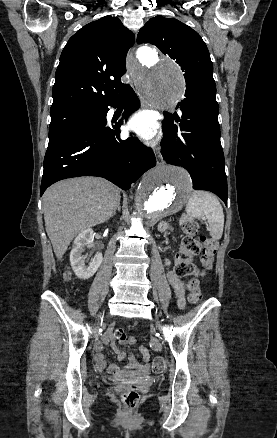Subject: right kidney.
I'll use <instances>...</instances> for the list:
<instances>
[{"label":"right kidney","instance_id":"obj_1","mask_svg":"<svg viewBox=\"0 0 277 438\" xmlns=\"http://www.w3.org/2000/svg\"><path fill=\"white\" fill-rule=\"evenodd\" d=\"M92 240L93 230L92 228H87V230H82L73 242L70 252V264L75 276L80 278V280L92 278L102 264L103 256L100 252H97L91 260H85V256H83L86 248H88V244H91Z\"/></svg>","mask_w":277,"mask_h":438}]
</instances>
